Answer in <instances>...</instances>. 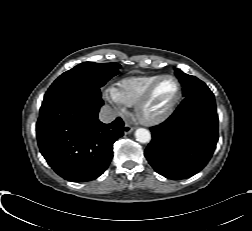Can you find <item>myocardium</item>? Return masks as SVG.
Segmentation results:
<instances>
[{"mask_svg": "<svg viewBox=\"0 0 252 231\" xmlns=\"http://www.w3.org/2000/svg\"><path fill=\"white\" fill-rule=\"evenodd\" d=\"M166 78H170L175 81L177 85L176 95L172 100V102L169 104V106L163 112L157 115L149 116L145 113V107L151 100L153 93L155 92L160 82ZM181 96H182V86L178 78L169 74L161 75L148 87V89L145 91L142 97L135 104V115L137 119L144 125H158L164 122L166 119H168L171 116V114L175 111L176 107L180 102Z\"/></svg>", "mask_w": 252, "mask_h": 231, "instance_id": "f54148a6", "label": "myocardium"}]
</instances>
